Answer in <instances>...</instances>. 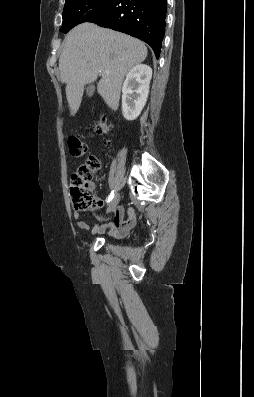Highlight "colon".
Masks as SVG:
<instances>
[{
	"instance_id": "5ec220e1",
	"label": "colon",
	"mask_w": 254,
	"mask_h": 397,
	"mask_svg": "<svg viewBox=\"0 0 254 397\" xmlns=\"http://www.w3.org/2000/svg\"><path fill=\"white\" fill-rule=\"evenodd\" d=\"M111 127V124L105 117L99 118L94 125V129L98 134L109 133ZM68 146L70 154L74 157H81L88 150L87 143L76 135L69 137ZM99 167L100 160L95 156H90L78 167L76 172L72 174L70 181V195L76 210H92L99 205V201L90 192L93 175Z\"/></svg>"
}]
</instances>
